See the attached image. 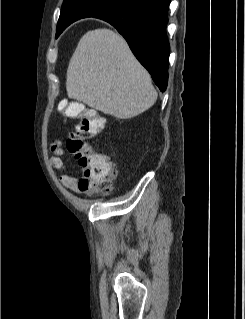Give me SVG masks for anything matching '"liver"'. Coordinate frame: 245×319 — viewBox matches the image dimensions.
Returning a JSON list of instances; mask_svg holds the SVG:
<instances>
[{
  "mask_svg": "<svg viewBox=\"0 0 245 319\" xmlns=\"http://www.w3.org/2000/svg\"><path fill=\"white\" fill-rule=\"evenodd\" d=\"M69 98L119 119L135 117L157 99L150 74L133 56L126 41L110 29L85 33L70 59Z\"/></svg>",
  "mask_w": 245,
  "mask_h": 319,
  "instance_id": "liver-1",
  "label": "liver"
}]
</instances>
